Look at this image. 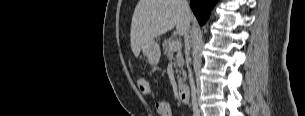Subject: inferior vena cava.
Wrapping results in <instances>:
<instances>
[{
  "label": "inferior vena cava",
  "instance_id": "602c4592",
  "mask_svg": "<svg viewBox=\"0 0 305 116\" xmlns=\"http://www.w3.org/2000/svg\"><path fill=\"white\" fill-rule=\"evenodd\" d=\"M184 6L185 8L188 10L189 9V5L187 3L186 0H184ZM189 28H190V23L187 24L186 26V32L184 34L185 37V46H186V52L187 54H189L190 51V36H189ZM188 70H189V78H190V86H191V98H192V109H193V114L194 116H199L200 111L198 109V103H197V90H196V86L194 83V79L192 76V72L191 69L188 66Z\"/></svg>",
  "mask_w": 305,
  "mask_h": 116
}]
</instances>
